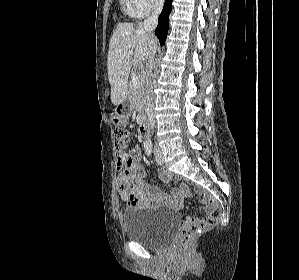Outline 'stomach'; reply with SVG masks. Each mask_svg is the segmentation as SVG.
Here are the masks:
<instances>
[{
  "label": "stomach",
  "mask_w": 299,
  "mask_h": 280,
  "mask_svg": "<svg viewBox=\"0 0 299 280\" xmlns=\"http://www.w3.org/2000/svg\"><path fill=\"white\" fill-rule=\"evenodd\" d=\"M130 114L131 107L127 103H123L111 113L110 120L115 126H124L127 124Z\"/></svg>",
  "instance_id": "stomach-1"
}]
</instances>
